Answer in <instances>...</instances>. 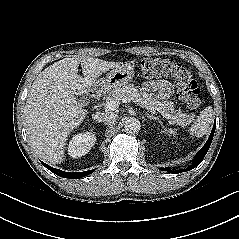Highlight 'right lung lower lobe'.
<instances>
[{"mask_svg":"<svg viewBox=\"0 0 239 239\" xmlns=\"http://www.w3.org/2000/svg\"><path fill=\"white\" fill-rule=\"evenodd\" d=\"M47 169H49L51 172L64 177V178H70V179H79L82 178L84 176H87L89 174H91L94 170H89V171H84V172H76V173H71V172H65L56 168H52L49 165H47L44 162H41Z\"/></svg>","mask_w":239,"mask_h":239,"instance_id":"1","label":"right lung lower lobe"}]
</instances>
